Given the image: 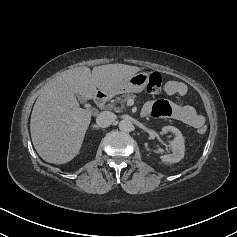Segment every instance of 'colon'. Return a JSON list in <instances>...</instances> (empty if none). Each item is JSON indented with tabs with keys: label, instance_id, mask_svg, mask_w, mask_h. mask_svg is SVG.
<instances>
[{
	"label": "colon",
	"instance_id": "colon-1",
	"mask_svg": "<svg viewBox=\"0 0 237 237\" xmlns=\"http://www.w3.org/2000/svg\"><path fill=\"white\" fill-rule=\"evenodd\" d=\"M163 88V79L158 72H153L148 76L147 79V91L149 93H158ZM206 126H201L198 132L204 134L206 132Z\"/></svg>",
	"mask_w": 237,
	"mask_h": 237
}]
</instances>
